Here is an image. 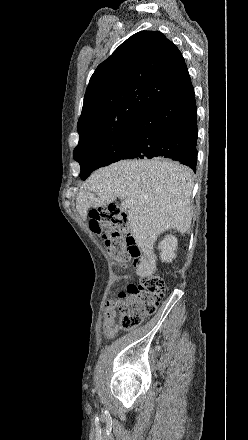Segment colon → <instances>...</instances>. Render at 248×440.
Listing matches in <instances>:
<instances>
[{"mask_svg": "<svg viewBox=\"0 0 248 440\" xmlns=\"http://www.w3.org/2000/svg\"><path fill=\"white\" fill-rule=\"evenodd\" d=\"M93 231L102 234L106 247L119 265L130 259L138 264L140 251L130 235L127 215L114 204L99 208L90 214ZM137 284L117 291L112 303L119 310L120 326L130 330L153 315L165 292L164 280L152 272H141Z\"/></svg>", "mask_w": 248, "mask_h": 440, "instance_id": "colon-1", "label": "colon"}]
</instances>
